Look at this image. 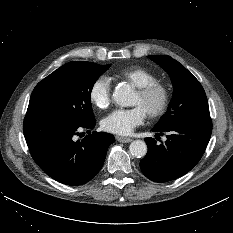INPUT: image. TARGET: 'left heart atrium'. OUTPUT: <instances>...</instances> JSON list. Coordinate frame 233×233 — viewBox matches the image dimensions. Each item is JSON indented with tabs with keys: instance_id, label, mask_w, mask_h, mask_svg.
I'll use <instances>...</instances> for the list:
<instances>
[{
	"instance_id": "1",
	"label": "left heart atrium",
	"mask_w": 233,
	"mask_h": 233,
	"mask_svg": "<svg viewBox=\"0 0 233 233\" xmlns=\"http://www.w3.org/2000/svg\"><path fill=\"white\" fill-rule=\"evenodd\" d=\"M146 117L145 111L140 106L130 109H117L102 120L104 130L118 134H130L134 128L140 126Z\"/></svg>"
}]
</instances>
